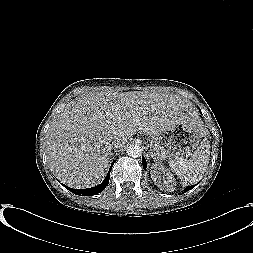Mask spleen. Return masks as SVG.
I'll return each instance as SVG.
<instances>
[{
	"label": "spleen",
	"mask_w": 253,
	"mask_h": 253,
	"mask_svg": "<svg viewBox=\"0 0 253 253\" xmlns=\"http://www.w3.org/2000/svg\"><path fill=\"white\" fill-rule=\"evenodd\" d=\"M202 132L205 138L192 155V159L188 160L183 157L169 159L171 170L186 183L196 182L207 170L210 156V145L206 138L208 130L203 128Z\"/></svg>",
	"instance_id": "3e777b00"
}]
</instances>
